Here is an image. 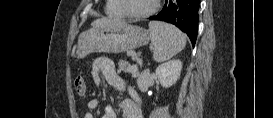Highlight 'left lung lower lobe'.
<instances>
[{
    "label": "left lung lower lobe",
    "mask_w": 273,
    "mask_h": 118,
    "mask_svg": "<svg viewBox=\"0 0 273 118\" xmlns=\"http://www.w3.org/2000/svg\"><path fill=\"white\" fill-rule=\"evenodd\" d=\"M199 4L200 0H166L162 11L149 19L174 24L189 36L194 46L198 32Z\"/></svg>",
    "instance_id": "0a47b994"
}]
</instances>
